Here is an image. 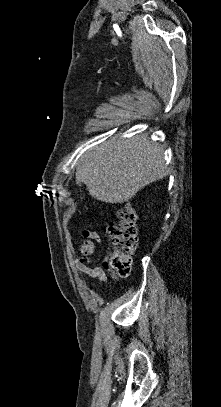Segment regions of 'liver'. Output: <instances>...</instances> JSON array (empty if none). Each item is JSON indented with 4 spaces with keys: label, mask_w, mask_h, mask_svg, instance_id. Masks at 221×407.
<instances>
[{
    "label": "liver",
    "mask_w": 221,
    "mask_h": 407,
    "mask_svg": "<svg viewBox=\"0 0 221 407\" xmlns=\"http://www.w3.org/2000/svg\"><path fill=\"white\" fill-rule=\"evenodd\" d=\"M168 173L164 150L144 135L112 138L87 151L78 161L76 182L89 194L111 204L123 203Z\"/></svg>",
    "instance_id": "1"
}]
</instances>
